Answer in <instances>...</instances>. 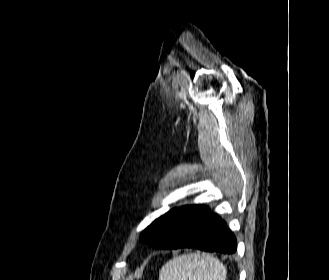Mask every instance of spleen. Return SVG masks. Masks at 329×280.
<instances>
[{"mask_svg":"<svg viewBox=\"0 0 329 280\" xmlns=\"http://www.w3.org/2000/svg\"><path fill=\"white\" fill-rule=\"evenodd\" d=\"M225 266L210 254L174 257L159 272V280H226Z\"/></svg>","mask_w":329,"mask_h":280,"instance_id":"spleen-1","label":"spleen"}]
</instances>
